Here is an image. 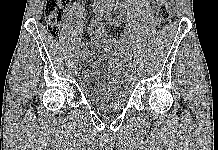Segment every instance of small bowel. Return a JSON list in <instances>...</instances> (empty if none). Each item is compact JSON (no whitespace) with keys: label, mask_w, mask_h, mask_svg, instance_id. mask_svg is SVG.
<instances>
[{"label":"small bowel","mask_w":218,"mask_h":150,"mask_svg":"<svg viewBox=\"0 0 218 150\" xmlns=\"http://www.w3.org/2000/svg\"><path fill=\"white\" fill-rule=\"evenodd\" d=\"M155 3L158 5V6H161V7H167L169 9H172V6H173V2L172 0H154ZM98 22H96L93 26H92V30L94 31V26L97 25Z\"/></svg>","instance_id":"c3829d8e"}]
</instances>
